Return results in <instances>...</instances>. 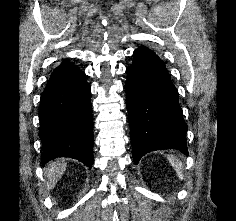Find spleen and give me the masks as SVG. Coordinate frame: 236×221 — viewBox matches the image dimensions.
I'll return each instance as SVG.
<instances>
[{
	"label": "spleen",
	"instance_id": "spleen-1",
	"mask_svg": "<svg viewBox=\"0 0 236 221\" xmlns=\"http://www.w3.org/2000/svg\"><path fill=\"white\" fill-rule=\"evenodd\" d=\"M170 164L172 165V167L175 169L178 177L183 180L184 179V175H183V164L181 161H179L178 159H176L173 155H168L167 156Z\"/></svg>",
	"mask_w": 236,
	"mask_h": 221
}]
</instances>
